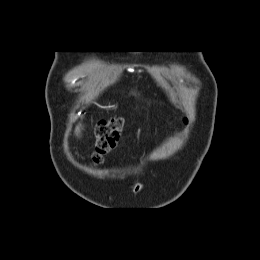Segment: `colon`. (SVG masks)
Here are the masks:
<instances>
[{"instance_id":"colon-1","label":"colon","mask_w":260,"mask_h":260,"mask_svg":"<svg viewBox=\"0 0 260 260\" xmlns=\"http://www.w3.org/2000/svg\"><path fill=\"white\" fill-rule=\"evenodd\" d=\"M124 121L121 118H112L100 121L95 130L96 143L93 162L100 164L104 157L112 151L122 140Z\"/></svg>"}]
</instances>
